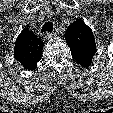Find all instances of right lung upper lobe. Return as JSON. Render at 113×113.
Segmentation results:
<instances>
[{
	"label": "right lung upper lobe",
	"instance_id": "right-lung-upper-lobe-1",
	"mask_svg": "<svg viewBox=\"0 0 113 113\" xmlns=\"http://www.w3.org/2000/svg\"><path fill=\"white\" fill-rule=\"evenodd\" d=\"M44 43L28 29H23L15 42L14 57L25 69L34 70L41 59Z\"/></svg>",
	"mask_w": 113,
	"mask_h": 113
}]
</instances>
